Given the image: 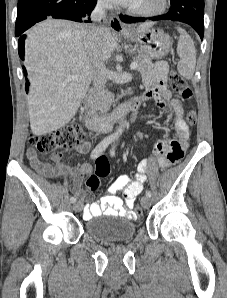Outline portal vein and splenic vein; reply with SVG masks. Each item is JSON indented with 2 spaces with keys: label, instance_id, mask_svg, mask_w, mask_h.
<instances>
[{
  "label": "portal vein and splenic vein",
  "instance_id": "18ae733b",
  "mask_svg": "<svg viewBox=\"0 0 227 298\" xmlns=\"http://www.w3.org/2000/svg\"><path fill=\"white\" fill-rule=\"evenodd\" d=\"M137 63L135 61H133L130 65L131 70H135L137 68Z\"/></svg>",
  "mask_w": 227,
  "mask_h": 298
}]
</instances>
